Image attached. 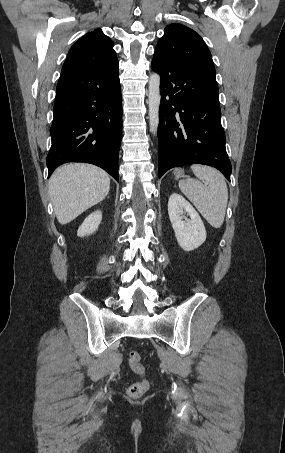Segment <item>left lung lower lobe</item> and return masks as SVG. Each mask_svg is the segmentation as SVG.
I'll return each mask as SVG.
<instances>
[{
  "label": "left lung lower lobe",
  "mask_w": 285,
  "mask_h": 453,
  "mask_svg": "<svg viewBox=\"0 0 285 453\" xmlns=\"http://www.w3.org/2000/svg\"><path fill=\"white\" fill-rule=\"evenodd\" d=\"M151 67L161 76L158 177L173 167L204 164L230 180L217 84L156 52Z\"/></svg>",
  "instance_id": "0a47b994"
}]
</instances>
